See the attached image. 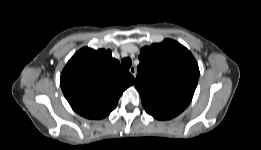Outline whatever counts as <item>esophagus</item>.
I'll return each mask as SVG.
<instances>
[{
    "label": "esophagus",
    "mask_w": 261,
    "mask_h": 150,
    "mask_svg": "<svg viewBox=\"0 0 261 150\" xmlns=\"http://www.w3.org/2000/svg\"><path fill=\"white\" fill-rule=\"evenodd\" d=\"M129 72L135 77L136 76V68L134 66L129 68Z\"/></svg>",
    "instance_id": "obj_1"
}]
</instances>
